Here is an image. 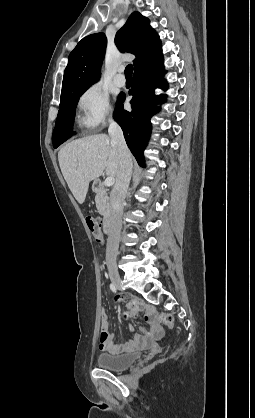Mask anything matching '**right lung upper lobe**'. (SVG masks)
<instances>
[{
	"instance_id": "right-lung-upper-lobe-1",
	"label": "right lung upper lobe",
	"mask_w": 255,
	"mask_h": 418,
	"mask_svg": "<svg viewBox=\"0 0 255 418\" xmlns=\"http://www.w3.org/2000/svg\"><path fill=\"white\" fill-rule=\"evenodd\" d=\"M106 44L103 33L88 35L77 44L69 55L61 94L87 88L98 81ZM115 44L121 52L127 51L136 56L133 60L134 72L163 58L159 36L150 26L149 19L139 12L132 13L117 32Z\"/></svg>"
}]
</instances>
